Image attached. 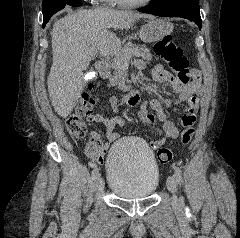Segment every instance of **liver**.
<instances>
[{
	"instance_id": "liver-1",
	"label": "liver",
	"mask_w": 240,
	"mask_h": 238,
	"mask_svg": "<svg viewBox=\"0 0 240 238\" xmlns=\"http://www.w3.org/2000/svg\"><path fill=\"white\" fill-rule=\"evenodd\" d=\"M154 19L153 15L133 11L97 8L68 13L56 20L51 32L53 63L47 79L48 92L54 110L63 118L71 114L84 87V71L92 56L91 48L99 52H118L121 41L110 29H129L139 19Z\"/></svg>"
}]
</instances>
